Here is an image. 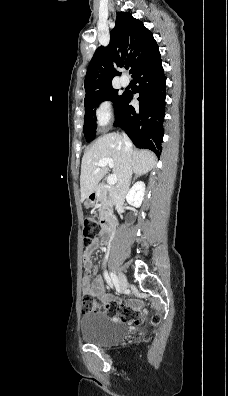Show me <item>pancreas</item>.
<instances>
[{
    "label": "pancreas",
    "instance_id": "pancreas-1",
    "mask_svg": "<svg viewBox=\"0 0 228 396\" xmlns=\"http://www.w3.org/2000/svg\"><path fill=\"white\" fill-rule=\"evenodd\" d=\"M97 199L101 203V207L99 208V216L101 220H104L110 215L112 211V192L109 191L103 184H101L97 188Z\"/></svg>",
    "mask_w": 228,
    "mask_h": 396
}]
</instances>
